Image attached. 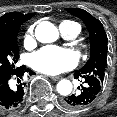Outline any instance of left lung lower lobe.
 Listing matches in <instances>:
<instances>
[{
    "label": "left lung lower lobe",
    "instance_id": "1",
    "mask_svg": "<svg viewBox=\"0 0 117 117\" xmlns=\"http://www.w3.org/2000/svg\"><path fill=\"white\" fill-rule=\"evenodd\" d=\"M74 77L84 78L85 86H81V92L72 94L63 99V105L70 109L84 108L91 105L97 98L102 82L94 75L81 74L79 71L74 73Z\"/></svg>",
    "mask_w": 117,
    "mask_h": 117
}]
</instances>
